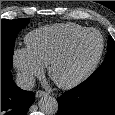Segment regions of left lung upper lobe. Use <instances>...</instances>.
I'll return each mask as SVG.
<instances>
[{"label":"left lung upper lobe","mask_w":115,"mask_h":115,"mask_svg":"<svg viewBox=\"0 0 115 115\" xmlns=\"http://www.w3.org/2000/svg\"><path fill=\"white\" fill-rule=\"evenodd\" d=\"M110 73H115V41L111 36L108 38V51L104 62L90 77L94 78Z\"/></svg>","instance_id":"1"}]
</instances>
